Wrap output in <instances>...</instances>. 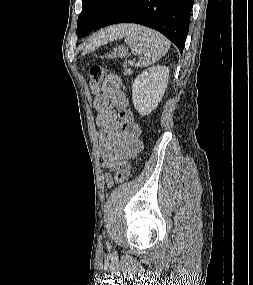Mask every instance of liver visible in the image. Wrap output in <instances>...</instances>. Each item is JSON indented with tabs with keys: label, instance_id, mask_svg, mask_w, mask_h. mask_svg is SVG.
Masks as SVG:
<instances>
[{
	"label": "liver",
	"instance_id": "6515ba94",
	"mask_svg": "<svg viewBox=\"0 0 253 285\" xmlns=\"http://www.w3.org/2000/svg\"><path fill=\"white\" fill-rule=\"evenodd\" d=\"M134 25H117L107 28L97 35L92 37L90 43L86 46L84 52L92 51L98 46L104 45L107 42L114 41L117 38L123 37L128 31H130Z\"/></svg>",
	"mask_w": 253,
	"mask_h": 285
}]
</instances>
